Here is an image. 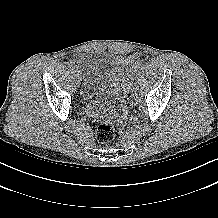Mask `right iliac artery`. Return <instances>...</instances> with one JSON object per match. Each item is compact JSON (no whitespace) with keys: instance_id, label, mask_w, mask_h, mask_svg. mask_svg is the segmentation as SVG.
Returning a JSON list of instances; mask_svg holds the SVG:
<instances>
[{"instance_id":"obj_1","label":"right iliac artery","mask_w":218,"mask_h":218,"mask_svg":"<svg viewBox=\"0 0 218 218\" xmlns=\"http://www.w3.org/2000/svg\"><path fill=\"white\" fill-rule=\"evenodd\" d=\"M68 67H69V68H73V63H72V62H69V63H68Z\"/></svg>"}]
</instances>
